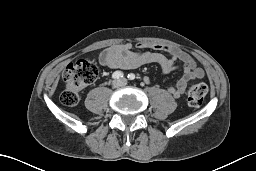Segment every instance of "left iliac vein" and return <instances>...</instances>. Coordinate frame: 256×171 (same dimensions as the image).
<instances>
[{
    "mask_svg": "<svg viewBox=\"0 0 256 171\" xmlns=\"http://www.w3.org/2000/svg\"><path fill=\"white\" fill-rule=\"evenodd\" d=\"M120 81H121L122 84H126V79L125 78H122Z\"/></svg>",
    "mask_w": 256,
    "mask_h": 171,
    "instance_id": "left-iliac-vein-1",
    "label": "left iliac vein"
}]
</instances>
